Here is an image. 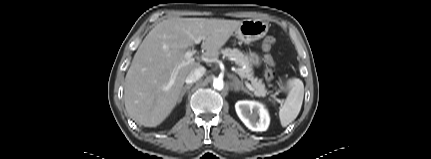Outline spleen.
<instances>
[{"mask_svg":"<svg viewBox=\"0 0 431 159\" xmlns=\"http://www.w3.org/2000/svg\"><path fill=\"white\" fill-rule=\"evenodd\" d=\"M303 98L304 84L300 79L295 78L292 80V89L279 110V118L283 127H286L296 119L301 110Z\"/></svg>","mask_w":431,"mask_h":159,"instance_id":"spleen-1","label":"spleen"}]
</instances>
